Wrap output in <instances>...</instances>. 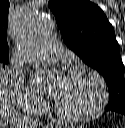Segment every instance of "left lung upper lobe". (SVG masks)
<instances>
[{
  "label": "left lung upper lobe",
  "instance_id": "5c2ea615",
  "mask_svg": "<svg viewBox=\"0 0 125 128\" xmlns=\"http://www.w3.org/2000/svg\"><path fill=\"white\" fill-rule=\"evenodd\" d=\"M49 8L65 44L103 75L109 88L106 109L125 108L124 65L104 12L89 0H51Z\"/></svg>",
  "mask_w": 125,
  "mask_h": 128
}]
</instances>
